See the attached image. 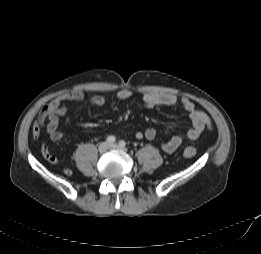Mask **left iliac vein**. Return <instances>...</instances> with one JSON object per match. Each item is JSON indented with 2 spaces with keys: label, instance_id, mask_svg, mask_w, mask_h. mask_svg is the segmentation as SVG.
Instances as JSON below:
<instances>
[{
  "label": "left iliac vein",
  "instance_id": "obj_1",
  "mask_svg": "<svg viewBox=\"0 0 261 254\" xmlns=\"http://www.w3.org/2000/svg\"><path fill=\"white\" fill-rule=\"evenodd\" d=\"M110 149H122V150H125V148L121 147L120 145L118 144H110L109 146Z\"/></svg>",
  "mask_w": 261,
  "mask_h": 254
}]
</instances>
